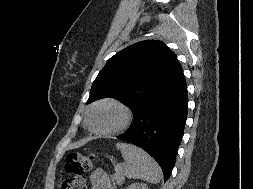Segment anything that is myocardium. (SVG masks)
<instances>
[{
	"mask_svg": "<svg viewBox=\"0 0 253 189\" xmlns=\"http://www.w3.org/2000/svg\"><path fill=\"white\" fill-rule=\"evenodd\" d=\"M103 105L116 106L117 108H119L121 110V112L123 114L122 123L118 127L114 128L112 130H109V131H98L95 128H93L92 123H91V115H92L93 111L96 108L103 106ZM131 121H132V114H131L129 108L125 104H123L122 102L115 100V99H103V100L96 102L95 104H93L89 108L87 115H86V125H87L88 130L95 135L103 136V137L113 136V135H117V134L122 133L130 126Z\"/></svg>",
	"mask_w": 253,
	"mask_h": 189,
	"instance_id": "myocardium-1",
	"label": "myocardium"
}]
</instances>
